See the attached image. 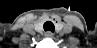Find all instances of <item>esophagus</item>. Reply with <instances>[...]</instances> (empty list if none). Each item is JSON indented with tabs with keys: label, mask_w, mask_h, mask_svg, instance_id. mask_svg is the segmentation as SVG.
Returning a JSON list of instances; mask_svg holds the SVG:
<instances>
[{
	"label": "esophagus",
	"mask_w": 97,
	"mask_h": 48,
	"mask_svg": "<svg viewBox=\"0 0 97 48\" xmlns=\"http://www.w3.org/2000/svg\"><path fill=\"white\" fill-rule=\"evenodd\" d=\"M45 36L46 37H53V33L48 31V32H45Z\"/></svg>",
	"instance_id": "obj_1"
}]
</instances>
